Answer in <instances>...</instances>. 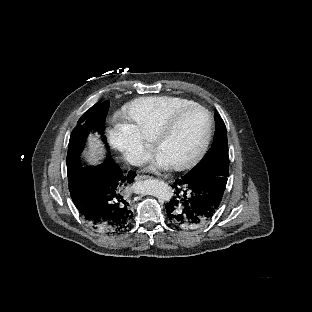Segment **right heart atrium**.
Listing matches in <instances>:
<instances>
[{"instance_id": "right-heart-atrium-1", "label": "right heart atrium", "mask_w": 312, "mask_h": 312, "mask_svg": "<svg viewBox=\"0 0 312 312\" xmlns=\"http://www.w3.org/2000/svg\"><path fill=\"white\" fill-rule=\"evenodd\" d=\"M104 142L114 155L128 164L146 167L151 162V153L145 148L139 126L132 120L112 124Z\"/></svg>"}]
</instances>
